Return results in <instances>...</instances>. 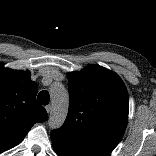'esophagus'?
<instances>
[{"label": "esophagus", "instance_id": "obj_1", "mask_svg": "<svg viewBox=\"0 0 156 156\" xmlns=\"http://www.w3.org/2000/svg\"><path fill=\"white\" fill-rule=\"evenodd\" d=\"M45 109H46L47 113H50L51 110H52V106L51 105H47V106H45Z\"/></svg>", "mask_w": 156, "mask_h": 156}]
</instances>
